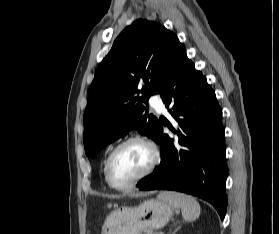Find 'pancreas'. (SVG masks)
Wrapping results in <instances>:
<instances>
[{
  "mask_svg": "<svg viewBox=\"0 0 279 234\" xmlns=\"http://www.w3.org/2000/svg\"><path fill=\"white\" fill-rule=\"evenodd\" d=\"M147 234H160V233H154L152 231H148Z\"/></svg>",
  "mask_w": 279,
  "mask_h": 234,
  "instance_id": "1",
  "label": "pancreas"
}]
</instances>
